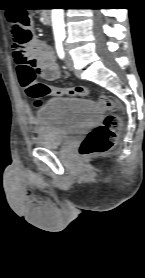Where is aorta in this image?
<instances>
[{"mask_svg":"<svg viewBox=\"0 0 145 278\" xmlns=\"http://www.w3.org/2000/svg\"><path fill=\"white\" fill-rule=\"evenodd\" d=\"M63 9H53L52 10V25L53 31L56 37L65 36V25L63 18Z\"/></svg>","mask_w":145,"mask_h":278,"instance_id":"obj_1","label":"aorta"}]
</instances>
